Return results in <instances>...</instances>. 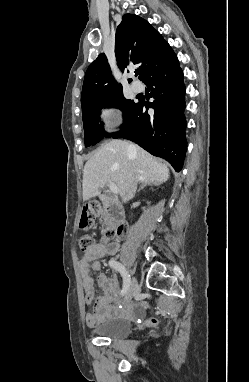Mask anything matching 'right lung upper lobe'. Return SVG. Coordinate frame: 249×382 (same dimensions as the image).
<instances>
[{
    "instance_id": "cb5924a9",
    "label": "right lung upper lobe",
    "mask_w": 249,
    "mask_h": 382,
    "mask_svg": "<svg viewBox=\"0 0 249 382\" xmlns=\"http://www.w3.org/2000/svg\"><path fill=\"white\" fill-rule=\"evenodd\" d=\"M174 52L146 20L125 14L117 27L115 55L123 71L129 62L139 64L140 77L145 78L151 67L165 60ZM122 93L112 75L105 54H100L88 67L82 88V109L97 99H105Z\"/></svg>"
}]
</instances>
